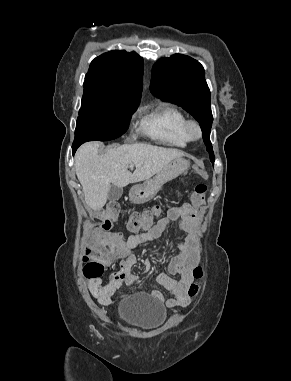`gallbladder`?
<instances>
[{"label": "gallbladder", "instance_id": "1", "mask_svg": "<svg viewBox=\"0 0 291 381\" xmlns=\"http://www.w3.org/2000/svg\"><path fill=\"white\" fill-rule=\"evenodd\" d=\"M123 194V189L121 187L111 185L109 193H108V199L110 201H116L118 200Z\"/></svg>", "mask_w": 291, "mask_h": 381}]
</instances>
